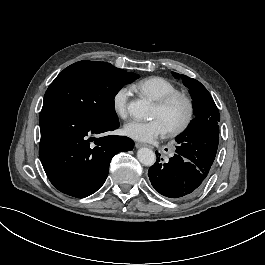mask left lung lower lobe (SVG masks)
<instances>
[{
    "mask_svg": "<svg viewBox=\"0 0 265 265\" xmlns=\"http://www.w3.org/2000/svg\"><path fill=\"white\" fill-rule=\"evenodd\" d=\"M210 171V167L177 153L168 163L161 164L158 158L149 168L148 176L153 188L163 196L186 200L200 190Z\"/></svg>",
    "mask_w": 265,
    "mask_h": 265,
    "instance_id": "left-lung-lower-lobe-1",
    "label": "left lung lower lobe"
}]
</instances>
